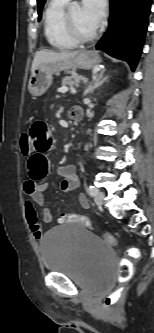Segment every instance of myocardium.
I'll return each mask as SVG.
<instances>
[{
    "instance_id": "f54148a6",
    "label": "myocardium",
    "mask_w": 154,
    "mask_h": 333,
    "mask_svg": "<svg viewBox=\"0 0 154 333\" xmlns=\"http://www.w3.org/2000/svg\"><path fill=\"white\" fill-rule=\"evenodd\" d=\"M64 26L69 36L77 43H88L98 36L97 31L89 35H84L77 29L70 14V7H66L64 12Z\"/></svg>"
}]
</instances>
